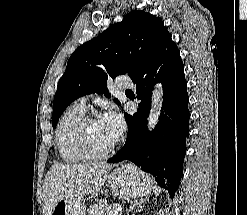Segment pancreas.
Instances as JSON below:
<instances>
[{"label": "pancreas", "mask_w": 247, "mask_h": 215, "mask_svg": "<svg viewBox=\"0 0 247 215\" xmlns=\"http://www.w3.org/2000/svg\"><path fill=\"white\" fill-rule=\"evenodd\" d=\"M89 213L90 215H116L115 210L109 207L105 202H97L94 204Z\"/></svg>", "instance_id": "obj_1"}]
</instances>
